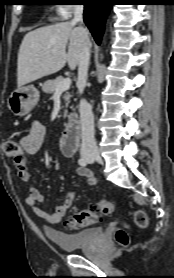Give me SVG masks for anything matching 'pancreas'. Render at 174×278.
Segmentation results:
<instances>
[{"instance_id": "obj_1", "label": "pancreas", "mask_w": 174, "mask_h": 278, "mask_svg": "<svg viewBox=\"0 0 174 278\" xmlns=\"http://www.w3.org/2000/svg\"><path fill=\"white\" fill-rule=\"evenodd\" d=\"M64 78L63 77H57L56 79L54 80H48L44 83V85L42 86V90L44 93H47V94H51V93H54L55 92V89H56V86L61 82L63 81ZM64 99H65V102H66V107H68L69 105V99H70V95L68 92L65 93V96H64ZM67 116V110H65L64 112V117Z\"/></svg>"}]
</instances>
